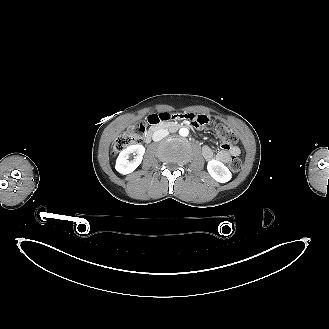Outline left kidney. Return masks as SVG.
<instances>
[{"instance_id":"left-kidney-1","label":"left kidney","mask_w":329,"mask_h":329,"mask_svg":"<svg viewBox=\"0 0 329 329\" xmlns=\"http://www.w3.org/2000/svg\"><path fill=\"white\" fill-rule=\"evenodd\" d=\"M207 170L210 176L220 183L228 182L232 178L229 169L222 162L215 159L208 162Z\"/></svg>"}]
</instances>
